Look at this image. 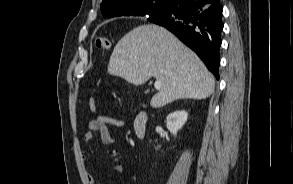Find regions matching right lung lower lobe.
<instances>
[{"label":"right lung lower lobe","mask_w":293,"mask_h":184,"mask_svg":"<svg viewBox=\"0 0 293 184\" xmlns=\"http://www.w3.org/2000/svg\"><path fill=\"white\" fill-rule=\"evenodd\" d=\"M203 4L201 0H172L159 18L149 21L174 33L219 79L222 7L219 0L208 6Z\"/></svg>","instance_id":"1"}]
</instances>
